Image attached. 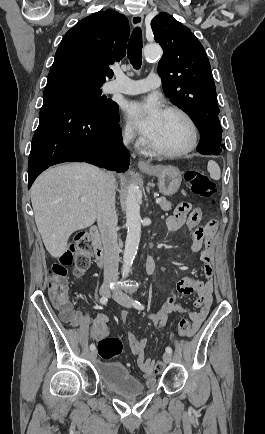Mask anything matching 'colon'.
<instances>
[{
	"label": "colon",
	"mask_w": 265,
	"mask_h": 434,
	"mask_svg": "<svg viewBox=\"0 0 265 434\" xmlns=\"http://www.w3.org/2000/svg\"><path fill=\"white\" fill-rule=\"evenodd\" d=\"M186 180L189 189L196 195L208 198L212 204L216 203L217 187L214 181L206 174L198 170H190L186 173ZM80 248H85V245ZM75 264L77 274H83L89 267L90 256L82 252L74 253L68 250L64 253L61 260L52 264L47 277V287L49 296L61 310V322H72L70 304L66 300L68 289L67 273L70 265ZM192 333V320L181 319L179 323V334L188 337ZM123 344L118 337H105L98 343V353L104 361L112 360L115 356L122 353ZM164 369V364H156V372L160 373Z\"/></svg>",
	"instance_id": "1"
}]
</instances>
